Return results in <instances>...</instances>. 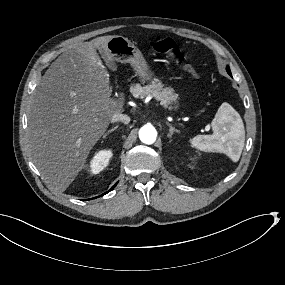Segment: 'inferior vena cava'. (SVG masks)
Masks as SVG:
<instances>
[{
	"mask_svg": "<svg viewBox=\"0 0 285 285\" xmlns=\"http://www.w3.org/2000/svg\"><path fill=\"white\" fill-rule=\"evenodd\" d=\"M111 122L115 123V122H122V123H128L129 122V117L125 114L122 113H114L112 118H111Z\"/></svg>",
	"mask_w": 285,
	"mask_h": 285,
	"instance_id": "inferior-vena-cava-1",
	"label": "inferior vena cava"
}]
</instances>
